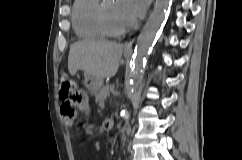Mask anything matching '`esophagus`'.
<instances>
[{
	"label": "esophagus",
	"instance_id": "obj_1",
	"mask_svg": "<svg viewBox=\"0 0 242 160\" xmlns=\"http://www.w3.org/2000/svg\"><path fill=\"white\" fill-rule=\"evenodd\" d=\"M132 41H130V42H128V43H126L125 45H124V50H125V52H127V53H131L132 52Z\"/></svg>",
	"mask_w": 242,
	"mask_h": 160
}]
</instances>
